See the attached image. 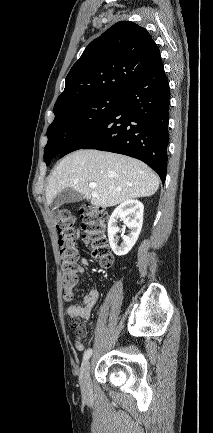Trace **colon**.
Returning <instances> with one entry per match:
<instances>
[{"mask_svg": "<svg viewBox=\"0 0 213 433\" xmlns=\"http://www.w3.org/2000/svg\"><path fill=\"white\" fill-rule=\"evenodd\" d=\"M108 218L107 211L102 207L86 204L82 208L84 241L89 246L93 258L106 268L113 264V256L106 236ZM53 221L59 237L62 284L65 289L64 298L66 301H71L74 297L72 288L77 280L75 274L77 265V249L74 237L75 217L69 209L60 208L53 212ZM70 326L77 337L82 335L83 324L78 318L72 317Z\"/></svg>", "mask_w": 213, "mask_h": 433, "instance_id": "obj_1", "label": "colon"}]
</instances>
